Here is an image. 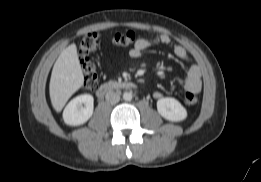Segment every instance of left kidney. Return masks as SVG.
Wrapping results in <instances>:
<instances>
[{"mask_svg": "<svg viewBox=\"0 0 261 182\" xmlns=\"http://www.w3.org/2000/svg\"><path fill=\"white\" fill-rule=\"evenodd\" d=\"M158 113L166 120L179 122L187 117L186 109L174 98H161L157 101Z\"/></svg>", "mask_w": 261, "mask_h": 182, "instance_id": "left-kidney-1", "label": "left kidney"}]
</instances>
